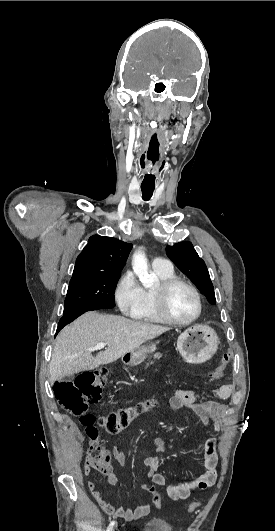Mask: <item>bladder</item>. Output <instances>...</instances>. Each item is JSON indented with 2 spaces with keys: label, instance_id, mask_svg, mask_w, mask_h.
Returning <instances> with one entry per match:
<instances>
[{
  "label": "bladder",
  "instance_id": "bladder-1",
  "mask_svg": "<svg viewBox=\"0 0 275 531\" xmlns=\"http://www.w3.org/2000/svg\"><path fill=\"white\" fill-rule=\"evenodd\" d=\"M142 531H172V524L167 518L155 515L144 521Z\"/></svg>",
  "mask_w": 275,
  "mask_h": 531
}]
</instances>
